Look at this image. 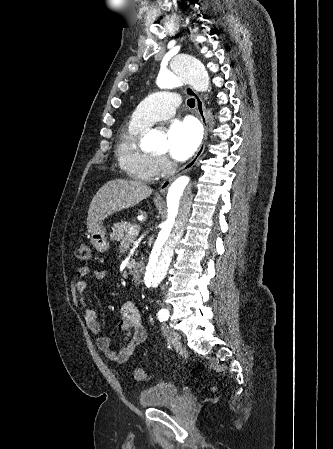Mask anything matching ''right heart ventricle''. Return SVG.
I'll use <instances>...</instances> for the list:
<instances>
[{
    "instance_id": "obj_1",
    "label": "right heart ventricle",
    "mask_w": 333,
    "mask_h": 449,
    "mask_svg": "<svg viewBox=\"0 0 333 449\" xmlns=\"http://www.w3.org/2000/svg\"><path fill=\"white\" fill-rule=\"evenodd\" d=\"M148 126L132 118L119 132L116 154L121 167L134 179L151 181L158 176L155 156L143 149L141 138Z\"/></svg>"
}]
</instances>
